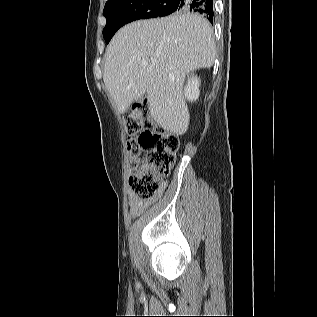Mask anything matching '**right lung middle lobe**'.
Listing matches in <instances>:
<instances>
[{"mask_svg": "<svg viewBox=\"0 0 317 317\" xmlns=\"http://www.w3.org/2000/svg\"><path fill=\"white\" fill-rule=\"evenodd\" d=\"M174 0H108L104 7L106 25L103 36L109 43L116 31L138 19L162 17L176 12ZM179 12V11H178Z\"/></svg>", "mask_w": 317, "mask_h": 317, "instance_id": "obj_1", "label": "right lung middle lobe"}]
</instances>
